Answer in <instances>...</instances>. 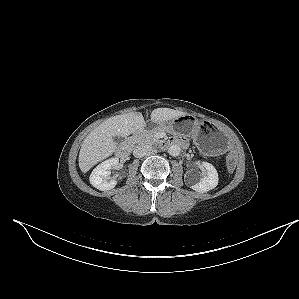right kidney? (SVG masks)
Instances as JSON below:
<instances>
[{
    "label": "right kidney",
    "instance_id": "right-kidney-1",
    "mask_svg": "<svg viewBox=\"0 0 299 299\" xmlns=\"http://www.w3.org/2000/svg\"><path fill=\"white\" fill-rule=\"evenodd\" d=\"M118 164V158H110L99 164L90 175V183L101 191L114 188L117 184V181L115 179H111L109 171Z\"/></svg>",
    "mask_w": 299,
    "mask_h": 299
}]
</instances>
